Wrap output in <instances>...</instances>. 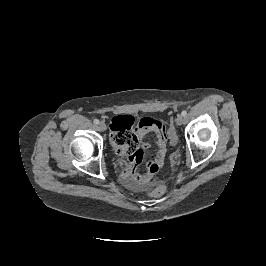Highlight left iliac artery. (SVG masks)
Masks as SVG:
<instances>
[{"mask_svg": "<svg viewBox=\"0 0 266 266\" xmlns=\"http://www.w3.org/2000/svg\"><path fill=\"white\" fill-rule=\"evenodd\" d=\"M181 115L183 116V117H185L186 115H187V111H182V113H181Z\"/></svg>", "mask_w": 266, "mask_h": 266, "instance_id": "44dca946", "label": "left iliac artery"}]
</instances>
